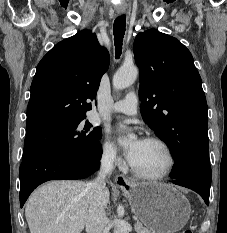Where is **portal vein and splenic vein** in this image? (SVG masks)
<instances>
[{
    "mask_svg": "<svg viewBox=\"0 0 227 233\" xmlns=\"http://www.w3.org/2000/svg\"><path fill=\"white\" fill-rule=\"evenodd\" d=\"M71 219H72V220H75V219H76V217L72 216V217H71Z\"/></svg>",
    "mask_w": 227,
    "mask_h": 233,
    "instance_id": "18ae733b",
    "label": "portal vein and splenic vein"
}]
</instances>
